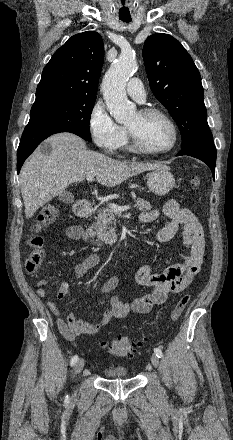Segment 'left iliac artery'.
Returning <instances> with one entry per match:
<instances>
[{"instance_id":"left-iliac-artery-1","label":"left iliac artery","mask_w":233,"mask_h":440,"mask_svg":"<svg viewBox=\"0 0 233 440\" xmlns=\"http://www.w3.org/2000/svg\"><path fill=\"white\" fill-rule=\"evenodd\" d=\"M154 353L157 355L158 358L163 357V353H162L161 349H159V348H155Z\"/></svg>"}]
</instances>
